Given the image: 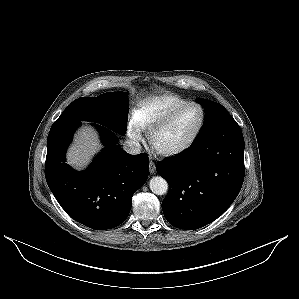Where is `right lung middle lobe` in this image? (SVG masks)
<instances>
[{
    "label": "right lung middle lobe",
    "mask_w": 299,
    "mask_h": 299,
    "mask_svg": "<svg viewBox=\"0 0 299 299\" xmlns=\"http://www.w3.org/2000/svg\"><path fill=\"white\" fill-rule=\"evenodd\" d=\"M127 92H107L98 97H82L73 101L59 119H76L99 123L125 134L129 102Z\"/></svg>",
    "instance_id": "dd1d6c3e"
}]
</instances>
